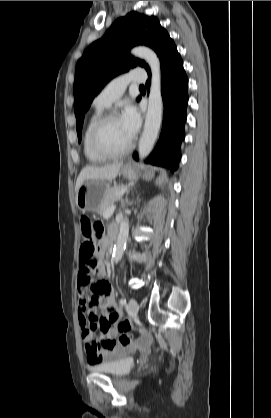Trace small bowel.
Instances as JSON below:
<instances>
[{"label": "small bowel", "instance_id": "c3829d8e", "mask_svg": "<svg viewBox=\"0 0 271 418\" xmlns=\"http://www.w3.org/2000/svg\"><path fill=\"white\" fill-rule=\"evenodd\" d=\"M114 229V228H113ZM112 229V230H113ZM105 242L100 241L95 251V242L82 239L80 249L76 250L78 284V320L85 343L87 361L89 365H97L130 351L140 341L123 344L119 338L124 333L118 330L123 322L122 313L115 304L112 286L103 278L106 275L105 257H103ZM91 274H96L100 281L91 285ZM91 285L92 295L88 296ZM103 311L101 318L96 315V308ZM94 329L99 332H94ZM126 334H129L126 332ZM119 335V338L116 337ZM130 335V334H129Z\"/></svg>", "mask_w": 271, "mask_h": 418}]
</instances>
